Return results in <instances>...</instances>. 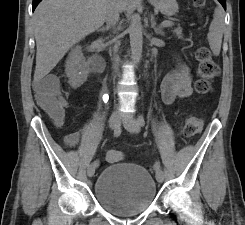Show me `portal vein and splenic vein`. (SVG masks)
Returning a JSON list of instances; mask_svg holds the SVG:
<instances>
[{
  "instance_id": "obj_1",
  "label": "portal vein and splenic vein",
  "mask_w": 245,
  "mask_h": 225,
  "mask_svg": "<svg viewBox=\"0 0 245 225\" xmlns=\"http://www.w3.org/2000/svg\"><path fill=\"white\" fill-rule=\"evenodd\" d=\"M173 25V22L172 21H169V20H165L161 23V26L162 27H170Z\"/></svg>"
}]
</instances>
